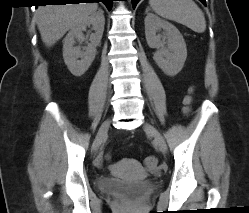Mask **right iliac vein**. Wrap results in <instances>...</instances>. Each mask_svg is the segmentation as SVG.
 I'll use <instances>...</instances> for the list:
<instances>
[{
    "label": "right iliac vein",
    "mask_w": 249,
    "mask_h": 213,
    "mask_svg": "<svg viewBox=\"0 0 249 213\" xmlns=\"http://www.w3.org/2000/svg\"><path fill=\"white\" fill-rule=\"evenodd\" d=\"M110 123H111L110 120H106L101 125V127H100V129H99V131L97 133V136H96V138L94 140L93 146H92L93 151H97L98 148L100 147L104 137L106 136V134H107V132L109 130Z\"/></svg>",
    "instance_id": "63e3f726"
}]
</instances>
